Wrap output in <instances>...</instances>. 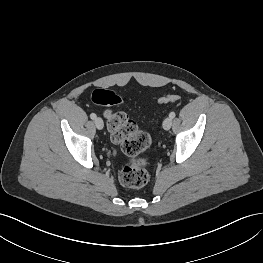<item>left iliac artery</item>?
<instances>
[{"mask_svg": "<svg viewBox=\"0 0 263 263\" xmlns=\"http://www.w3.org/2000/svg\"><path fill=\"white\" fill-rule=\"evenodd\" d=\"M175 116H176L175 112H171V113L169 114V117L172 118V119H173Z\"/></svg>", "mask_w": 263, "mask_h": 263, "instance_id": "obj_1", "label": "left iliac artery"}]
</instances>
